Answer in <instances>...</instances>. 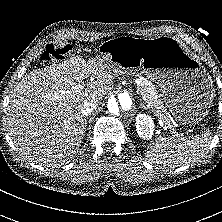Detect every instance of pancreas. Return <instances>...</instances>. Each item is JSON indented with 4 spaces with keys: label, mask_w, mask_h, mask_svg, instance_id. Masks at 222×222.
Here are the masks:
<instances>
[{
    "label": "pancreas",
    "mask_w": 222,
    "mask_h": 222,
    "mask_svg": "<svg viewBox=\"0 0 222 222\" xmlns=\"http://www.w3.org/2000/svg\"><path fill=\"white\" fill-rule=\"evenodd\" d=\"M142 98L146 101L148 108L163 121L170 124V117L166 108L163 106V101L160 99V94L156 87L144 77H139V85L137 86Z\"/></svg>",
    "instance_id": "pancreas-1"
}]
</instances>
